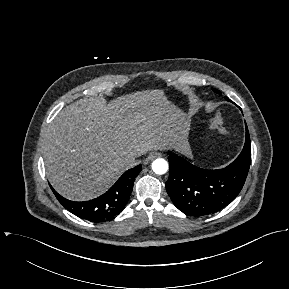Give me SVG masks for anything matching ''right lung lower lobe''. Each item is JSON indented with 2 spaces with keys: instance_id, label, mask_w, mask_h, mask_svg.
I'll use <instances>...</instances> for the list:
<instances>
[{
  "instance_id": "98d812e1",
  "label": "right lung lower lobe",
  "mask_w": 289,
  "mask_h": 289,
  "mask_svg": "<svg viewBox=\"0 0 289 289\" xmlns=\"http://www.w3.org/2000/svg\"><path fill=\"white\" fill-rule=\"evenodd\" d=\"M141 168V165H138L128 170L106 193L90 201H70L59 195L52 187L51 189L58 201L71 213L92 222H105L114 218L124 208Z\"/></svg>"
}]
</instances>
